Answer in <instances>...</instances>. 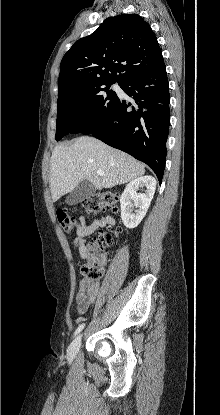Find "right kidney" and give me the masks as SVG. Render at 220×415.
I'll list each match as a JSON object with an SVG mask.
<instances>
[{
  "label": "right kidney",
  "instance_id": "1",
  "mask_svg": "<svg viewBox=\"0 0 220 415\" xmlns=\"http://www.w3.org/2000/svg\"><path fill=\"white\" fill-rule=\"evenodd\" d=\"M146 187L145 193H137L139 188ZM156 189V180L152 176H143L126 185L120 197L121 219L123 224L133 229L139 225L150 206ZM134 201V204L131 203ZM137 210L133 213V208Z\"/></svg>",
  "mask_w": 220,
  "mask_h": 415
}]
</instances>
